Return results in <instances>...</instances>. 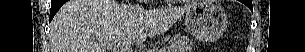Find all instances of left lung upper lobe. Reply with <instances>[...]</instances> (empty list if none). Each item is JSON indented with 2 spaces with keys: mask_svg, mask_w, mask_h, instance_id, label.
<instances>
[{
  "mask_svg": "<svg viewBox=\"0 0 305 52\" xmlns=\"http://www.w3.org/2000/svg\"><path fill=\"white\" fill-rule=\"evenodd\" d=\"M245 5H247L249 7V9L253 10V7H252V2L251 0H244L242 1Z\"/></svg>",
  "mask_w": 305,
  "mask_h": 52,
  "instance_id": "left-lung-upper-lobe-1",
  "label": "left lung upper lobe"
}]
</instances>
